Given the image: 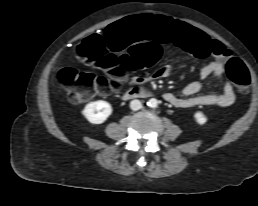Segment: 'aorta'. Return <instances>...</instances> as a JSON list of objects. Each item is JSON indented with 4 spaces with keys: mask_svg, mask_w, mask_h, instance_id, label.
<instances>
[{
    "mask_svg": "<svg viewBox=\"0 0 258 206\" xmlns=\"http://www.w3.org/2000/svg\"><path fill=\"white\" fill-rule=\"evenodd\" d=\"M157 103H158L157 100L152 98V99L149 100V102H147V105L149 107H151V108H156L157 107Z\"/></svg>",
    "mask_w": 258,
    "mask_h": 206,
    "instance_id": "1",
    "label": "aorta"
}]
</instances>
